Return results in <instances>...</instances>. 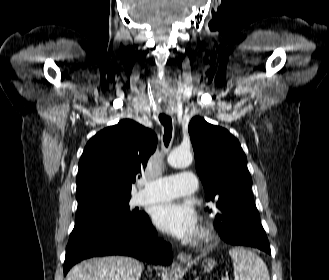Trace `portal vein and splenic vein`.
Segmentation results:
<instances>
[{"label": "portal vein and splenic vein", "instance_id": "obj_1", "mask_svg": "<svg viewBox=\"0 0 329 280\" xmlns=\"http://www.w3.org/2000/svg\"><path fill=\"white\" fill-rule=\"evenodd\" d=\"M222 280H229V278H223Z\"/></svg>", "mask_w": 329, "mask_h": 280}]
</instances>
